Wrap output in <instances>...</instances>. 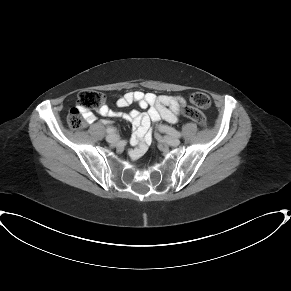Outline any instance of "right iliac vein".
<instances>
[{
  "mask_svg": "<svg viewBox=\"0 0 291 291\" xmlns=\"http://www.w3.org/2000/svg\"><path fill=\"white\" fill-rule=\"evenodd\" d=\"M106 140L109 143H117L119 141V137L116 134H109L106 136Z\"/></svg>",
  "mask_w": 291,
  "mask_h": 291,
  "instance_id": "obj_1",
  "label": "right iliac vein"
}]
</instances>
